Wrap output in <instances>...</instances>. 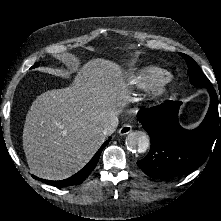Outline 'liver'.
<instances>
[{"instance_id": "1", "label": "liver", "mask_w": 221, "mask_h": 221, "mask_svg": "<svg viewBox=\"0 0 221 221\" xmlns=\"http://www.w3.org/2000/svg\"><path fill=\"white\" fill-rule=\"evenodd\" d=\"M121 65L93 59L74 83L42 93L32 103L23 129V149L32 174L62 180L92 158L110 118L132 101Z\"/></svg>"}]
</instances>
